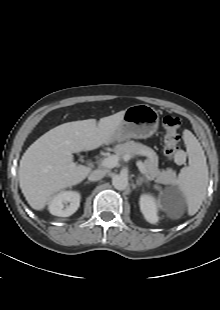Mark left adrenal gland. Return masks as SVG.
Wrapping results in <instances>:
<instances>
[{"label":"left adrenal gland","mask_w":220,"mask_h":310,"mask_svg":"<svg viewBox=\"0 0 220 310\" xmlns=\"http://www.w3.org/2000/svg\"><path fill=\"white\" fill-rule=\"evenodd\" d=\"M143 183H148V181L146 179H144L143 177H138V179L136 180V185L137 186H141Z\"/></svg>","instance_id":"obj_1"}]
</instances>
